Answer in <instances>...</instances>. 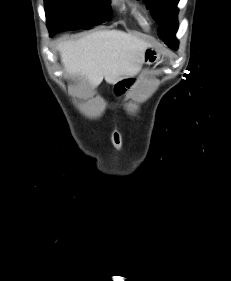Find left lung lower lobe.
Wrapping results in <instances>:
<instances>
[{"mask_svg":"<svg viewBox=\"0 0 231 281\" xmlns=\"http://www.w3.org/2000/svg\"><path fill=\"white\" fill-rule=\"evenodd\" d=\"M176 31L177 30H175L173 33H172V38L174 39V41H175V47H176V49H177V47H178V41L175 39V33H176Z\"/></svg>","mask_w":231,"mask_h":281,"instance_id":"0a47b994","label":"left lung lower lobe"}]
</instances>
